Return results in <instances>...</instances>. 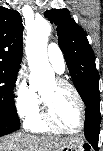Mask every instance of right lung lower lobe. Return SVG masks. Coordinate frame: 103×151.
<instances>
[{
    "instance_id": "98d812e1",
    "label": "right lung lower lobe",
    "mask_w": 103,
    "mask_h": 151,
    "mask_svg": "<svg viewBox=\"0 0 103 151\" xmlns=\"http://www.w3.org/2000/svg\"><path fill=\"white\" fill-rule=\"evenodd\" d=\"M20 127V122L11 120L0 115V136L7 135L17 130Z\"/></svg>"
}]
</instances>
